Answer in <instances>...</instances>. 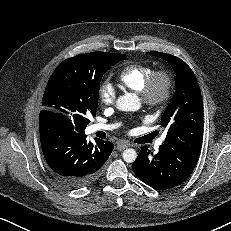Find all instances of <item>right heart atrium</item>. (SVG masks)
Listing matches in <instances>:
<instances>
[{
    "mask_svg": "<svg viewBox=\"0 0 231 231\" xmlns=\"http://www.w3.org/2000/svg\"><path fill=\"white\" fill-rule=\"evenodd\" d=\"M115 96V89L110 82L104 81L99 85L98 99L100 103L106 106L112 105L115 101Z\"/></svg>",
    "mask_w": 231,
    "mask_h": 231,
    "instance_id": "obj_1",
    "label": "right heart atrium"
}]
</instances>
